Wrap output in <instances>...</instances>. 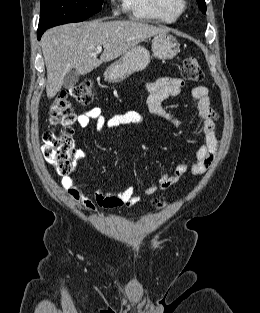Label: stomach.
Here are the masks:
<instances>
[{
  "label": "stomach",
  "mask_w": 260,
  "mask_h": 313,
  "mask_svg": "<svg viewBox=\"0 0 260 313\" xmlns=\"http://www.w3.org/2000/svg\"><path fill=\"white\" fill-rule=\"evenodd\" d=\"M152 52L159 59H172L180 52V44L171 34H157L152 40ZM149 62V51L143 46L136 45L107 67L104 73L105 80L110 83L123 81L131 74L145 69Z\"/></svg>",
  "instance_id": "obj_1"
}]
</instances>
